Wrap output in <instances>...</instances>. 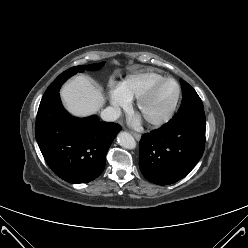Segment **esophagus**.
<instances>
[{"mask_svg":"<svg viewBox=\"0 0 248 248\" xmlns=\"http://www.w3.org/2000/svg\"><path fill=\"white\" fill-rule=\"evenodd\" d=\"M130 133L134 136V138L136 140H139L141 138L140 134L136 133V132H133V131H130Z\"/></svg>","mask_w":248,"mask_h":248,"instance_id":"34e87169","label":"esophagus"}]
</instances>
